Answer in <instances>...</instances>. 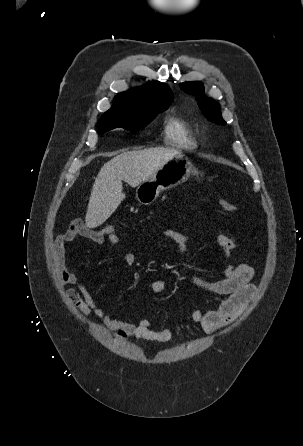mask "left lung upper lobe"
Listing matches in <instances>:
<instances>
[{
  "label": "left lung upper lobe",
  "mask_w": 303,
  "mask_h": 446,
  "mask_svg": "<svg viewBox=\"0 0 303 446\" xmlns=\"http://www.w3.org/2000/svg\"><path fill=\"white\" fill-rule=\"evenodd\" d=\"M180 87L184 92L196 96V100L198 101L202 113L209 121L220 125L226 124L222 118L218 103L213 99L206 97L202 82H184L180 84Z\"/></svg>",
  "instance_id": "5c2ea615"
}]
</instances>
